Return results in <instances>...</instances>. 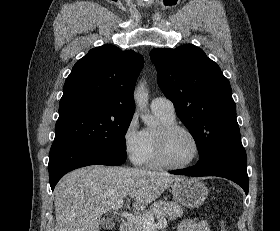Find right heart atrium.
<instances>
[{
  "instance_id": "obj_1",
  "label": "right heart atrium",
  "mask_w": 280,
  "mask_h": 231,
  "mask_svg": "<svg viewBox=\"0 0 280 231\" xmlns=\"http://www.w3.org/2000/svg\"><path fill=\"white\" fill-rule=\"evenodd\" d=\"M122 145L126 156L131 162L140 165L144 162L147 141L145 131L139 130L135 117H131L122 132Z\"/></svg>"
}]
</instances>
